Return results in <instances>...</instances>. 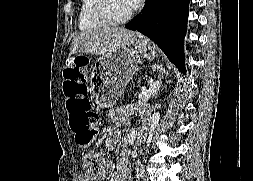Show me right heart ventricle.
<instances>
[{"label": "right heart ventricle", "instance_id": "1", "mask_svg": "<svg viewBox=\"0 0 253 181\" xmlns=\"http://www.w3.org/2000/svg\"><path fill=\"white\" fill-rule=\"evenodd\" d=\"M94 0H81L79 17H78V26L79 29L83 32L94 31L102 28L104 25L97 21L93 16Z\"/></svg>", "mask_w": 253, "mask_h": 181}]
</instances>
